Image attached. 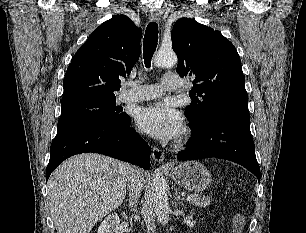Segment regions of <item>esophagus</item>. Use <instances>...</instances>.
<instances>
[{
  "mask_svg": "<svg viewBox=\"0 0 306 233\" xmlns=\"http://www.w3.org/2000/svg\"><path fill=\"white\" fill-rule=\"evenodd\" d=\"M149 19L152 22H159L160 21V13L157 9H151L149 13ZM152 157L155 162L163 163L164 161V153L157 147H152ZM168 166V165H163Z\"/></svg>",
  "mask_w": 306,
  "mask_h": 233,
  "instance_id": "34e87169",
  "label": "esophagus"
}]
</instances>
